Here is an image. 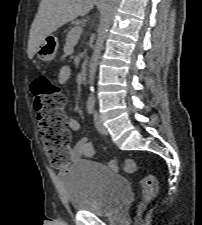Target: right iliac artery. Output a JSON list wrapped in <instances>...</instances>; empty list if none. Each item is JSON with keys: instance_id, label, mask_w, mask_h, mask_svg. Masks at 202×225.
I'll use <instances>...</instances> for the list:
<instances>
[{"instance_id": "obj_1", "label": "right iliac artery", "mask_w": 202, "mask_h": 225, "mask_svg": "<svg viewBox=\"0 0 202 225\" xmlns=\"http://www.w3.org/2000/svg\"><path fill=\"white\" fill-rule=\"evenodd\" d=\"M86 108H87V112L89 114H93L94 113V101L87 102Z\"/></svg>"}]
</instances>
